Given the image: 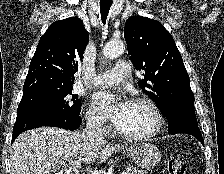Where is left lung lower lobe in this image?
Listing matches in <instances>:
<instances>
[{
	"label": "left lung lower lobe",
	"instance_id": "obj_1",
	"mask_svg": "<svg viewBox=\"0 0 224 174\" xmlns=\"http://www.w3.org/2000/svg\"><path fill=\"white\" fill-rule=\"evenodd\" d=\"M166 118L168 120L169 134H189L197 138L204 145L202 134L198 128L194 110V102H181L176 104L170 110V113L166 116Z\"/></svg>",
	"mask_w": 224,
	"mask_h": 174
}]
</instances>
